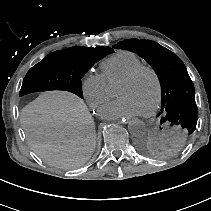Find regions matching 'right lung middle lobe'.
Segmentation results:
<instances>
[{"instance_id": "right-lung-middle-lobe-1", "label": "right lung middle lobe", "mask_w": 211, "mask_h": 211, "mask_svg": "<svg viewBox=\"0 0 211 211\" xmlns=\"http://www.w3.org/2000/svg\"><path fill=\"white\" fill-rule=\"evenodd\" d=\"M107 53L71 47L47 55L26 74L20 95L37 91L66 90L83 97L81 78Z\"/></svg>"}]
</instances>
